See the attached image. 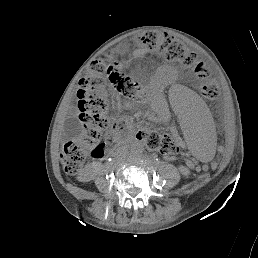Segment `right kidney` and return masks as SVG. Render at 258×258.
<instances>
[{"instance_id": "right-kidney-1", "label": "right kidney", "mask_w": 258, "mask_h": 258, "mask_svg": "<svg viewBox=\"0 0 258 258\" xmlns=\"http://www.w3.org/2000/svg\"><path fill=\"white\" fill-rule=\"evenodd\" d=\"M94 177V174L89 170L88 167L82 169L80 172L78 179L82 182H89Z\"/></svg>"}]
</instances>
